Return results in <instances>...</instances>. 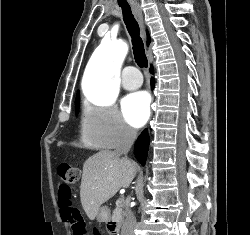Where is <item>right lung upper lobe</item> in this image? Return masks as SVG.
I'll list each match as a JSON object with an SVG mask.
<instances>
[{"mask_svg":"<svg viewBox=\"0 0 250 235\" xmlns=\"http://www.w3.org/2000/svg\"><path fill=\"white\" fill-rule=\"evenodd\" d=\"M150 43V36H149V34H147V44H149ZM79 93H77V95H78Z\"/></svg>","mask_w":250,"mask_h":235,"instance_id":"right-lung-upper-lobe-1","label":"right lung upper lobe"}]
</instances>
